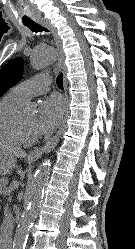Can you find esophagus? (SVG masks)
<instances>
[{
    "label": "esophagus",
    "instance_id": "34e87169",
    "mask_svg": "<svg viewBox=\"0 0 135 249\" xmlns=\"http://www.w3.org/2000/svg\"><path fill=\"white\" fill-rule=\"evenodd\" d=\"M39 23L42 24L44 27H46L51 32V34L56 42V46H57V49L59 52V59L57 62V66L63 73L64 90H65V95L67 96V84H68V82H67V77H66V67L64 64V53L62 50V39L58 35L56 29L51 25V23L48 20H40ZM68 112H69V109H68V101H67L64 118L62 120V124H61L59 130L57 131L55 136L51 140H49L43 147L35 148L29 153V157L31 159H38L44 153H49L50 151H52L55 148V146L57 145L59 138L62 134L64 125L66 122V118L68 116Z\"/></svg>",
    "mask_w": 135,
    "mask_h": 249
}]
</instances>
